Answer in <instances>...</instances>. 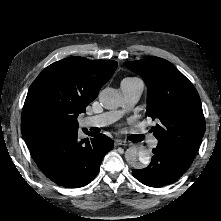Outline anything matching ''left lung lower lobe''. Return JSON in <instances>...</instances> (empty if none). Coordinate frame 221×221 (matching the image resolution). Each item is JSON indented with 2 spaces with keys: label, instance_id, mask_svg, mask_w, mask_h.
<instances>
[{
  "label": "left lung lower lobe",
  "instance_id": "1",
  "mask_svg": "<svg viewBox=\"0 0 221 221\" xmlns=\"http://www.w3.org/2000/svg\"><path fill=\"white\" fill-rule=\"evenodd\" d=\"M152 152L154 155L149 166L132 172L137 180L150 187H161L175 182L192 163L160 146Z\"/></svg>",
  "mask_w": 221,
  "mask_h": 221
}]
</instances>
